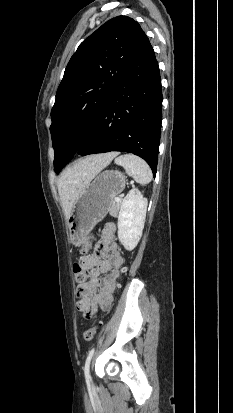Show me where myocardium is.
Here are the masks:
<instances>
[{"label":"myocardium","mask_w":233,"mask_h":413,"mask_svg":"<svg viewBox=\"0 0 233 413\" xmlns=\"http://www.w3.org/2000/svg\"><path fill=\"white\" fill-rule=\"evenodd\" d=\"M80 136H81V132L79 129H74L70 131L65 138V144L67 146L74 145L75 143L78 142V140L80 139Z\"/></svg>","instance_id":"1"}]
</instances>
